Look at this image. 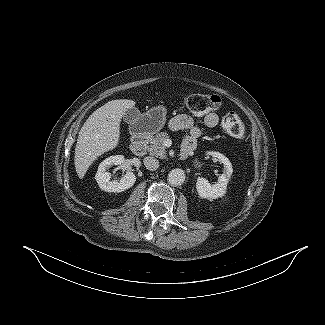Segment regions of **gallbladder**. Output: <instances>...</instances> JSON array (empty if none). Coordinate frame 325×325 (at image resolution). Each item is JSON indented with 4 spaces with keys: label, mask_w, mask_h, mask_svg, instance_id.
Returning <instances> with one entry per match:
<instances>
[{
    "label": "gallbladder",
    "mask_w": 325,
    "mask_h": 325,
    "mask_svg": "<svg viewBox=\"0 0 325 325\" xmlns=\"http://www.w3.org/2000/svg\"><path fill=\"white\" fill-rule=\"evenodd\" d=\"M140 116V111L136 108H130L126 111L123 116V119L126 123L131 124L133 123L138 117Z\"/></svg>",
    "instance_id": "obj_1"
}]
</instances>
